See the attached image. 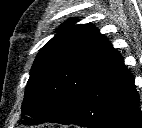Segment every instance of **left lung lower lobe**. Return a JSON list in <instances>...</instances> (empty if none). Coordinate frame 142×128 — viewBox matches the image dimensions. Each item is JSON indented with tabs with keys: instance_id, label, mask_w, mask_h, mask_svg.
I'll use <instances>...</instances> for the list:
<instances>
[{
	"instance_id": "0a47b994",
	"label": "left lung lower lobe",
	"mask_w": 142,
	"mask_h": 128,
	"mask_svg": "<svg viewBox=\"0 0 142 128\" xmlns=\"http://www.w3.org/2000/svg\"><path fill=\"white\" fill-rule=\"evenodd\" d=\"M138 104L133 75L119 54L85 86L67 116L55 123L87 128H142Z\"/></svg>"
}]
</instances>
